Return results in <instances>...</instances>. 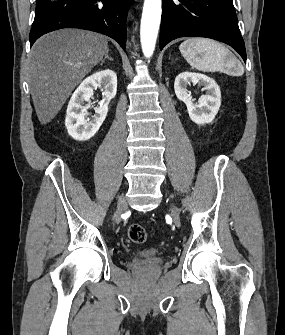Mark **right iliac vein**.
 Returning <instances> with one entry per match:
<instances>
[{
	"mask_svg": "<svg viewBox=\"0 0 285 335\" xmlns=\"http://www.w3.org/2000/svg\"><path fill=\"white\" fill-rule=\"evenodd\" d=\"M126 209H127V205H126L125 196L122 194L118 198V213L121 214L125 212ZM118 220H120V217H118Z\"/></svg>",
	"mask_w": 285,
	"mask_h": 335,
	"instance_id": "63e3f726",
	"label": "right iliac vein"
}]
</instances>
